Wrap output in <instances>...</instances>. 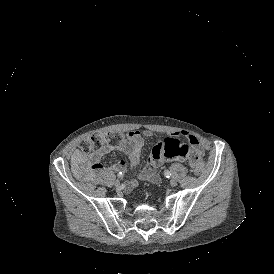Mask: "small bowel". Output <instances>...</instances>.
Returning a JSON list of instances; mask_svg holds the SVG:
<instances>
[{
    "mask_svg": "<svg viewBox=\"0 0 274 274\" xmlns=\"http://www.w3.org/2000/svg\"><path fill=\"white\" fill-rule=\"evenodd\" d=\"M188 139L192 150L196 149L203 155V150L199 139L185 131L178 133ZM149 130H134L127 133L116 143H106L101 149L91 154L76 150L71 156V166L76 177L85 181H92L96 176L101 174L105 167L101 163V159L112 151H123L129 156L130 169L134 172L139 171L140 156L144 145V138L151 137ZM152 145L148 150L147 158L151 161L150 172H142L140 178L147 182L156 184L160 181L158 174L159 169L163 165L188 162L187 155L189 149L184 139L176 137H167L164 133H156L152 137ZM164 147L167 151H164ZM127 167L125 160H119L110 167L112 171H121ZM136 181L132 180L126 184V189L131 190L136 187Z\"/></svg>",
    "mask_w": 274,
    "mask_h": 274,
    "instance_id": "obj_1",
    "label": "small bowel"
}]
</instances>
